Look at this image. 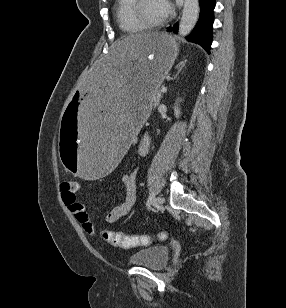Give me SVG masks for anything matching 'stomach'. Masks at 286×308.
<instances>
[{
  "label": "stomach",
  "mask_w": 286,
  "mask_h": 308,
  "mask_svg": "<svg viewBox=\"0 0 286 308\" xmlns=\"http://www.w3.org/2000/svg\"><path fill=\"white\" fill-rule=\"evenodd\" d=\"M177 55L174 38L154 33L127 36L96 60L60 118L58 153L67 173L82 182L116 173Z\"/></svg>",
  "instance_id": "obj_1"
}]
</instances>
